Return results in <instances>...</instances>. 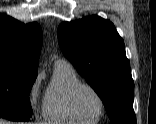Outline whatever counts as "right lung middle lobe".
<instances>
[{"instance_id":"right-lung-middle-lobe-1","label":"right lung middle lobe","mask_w":156,"mask_h":124,"mask_svg":"<svg viewBox=\"0 0 156 124\" xmlns=\"http://www.w3.org/2000/svg\"><path fill=\"white\" fill-rule=\"evenodd\" d=\"M37 72L0 66V112L30 118L32 108L29 94Z\"/></svg>"}]
</instances>
